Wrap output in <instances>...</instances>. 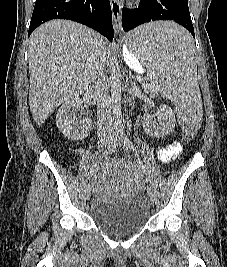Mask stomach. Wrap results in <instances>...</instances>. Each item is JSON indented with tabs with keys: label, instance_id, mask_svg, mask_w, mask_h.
<instances>
[{
	"label": "stomach",
	"instance_id": "1",
	"mask_svg": "<svg viewBox=\"0 0 227 267\" xmlns=\"http://www.w3.org/2000/svg\"><path fill=\"white\" fill-rule=\"evenodd\" d=\"M124 59L128 66L137 72H144V63H139V59L136 55H132V51H129V47L124 48ZM155 69H157V63H155Z\"/></svg>",
	"mask_w": 227,
	"mask_h": 267
}]
</instances>
